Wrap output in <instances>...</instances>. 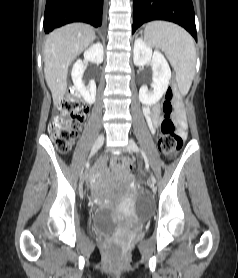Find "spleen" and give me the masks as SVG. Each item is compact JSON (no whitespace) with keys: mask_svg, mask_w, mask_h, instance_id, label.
<instances>
[{"mask_svg":"<svg viewBox=\"0 0 238 278\" xmlns=\"http://www.w3.org/2000/svg\"><path fill=\"white\" fill-rule=\"evenodd\" d=\"M144 40L149 47L164 52L175 70L180 92L186 94L192 84L196 65V49L191 35L173 23L154 21L146 25Z\"/></svg>","mask_w":238,"mask_h":278,"instance_id":"obj_1","label":"spleen"}]
</instances>
